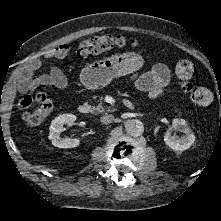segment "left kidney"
Returning a JSON list of instances; mask_svg holds the SVG:
<instances>
[{
	"instance_id": "obj_1",
	"label": "left kidney",
	"mask_w": 221,
	"mask_h": 221,
	"mask_svg": "<svg viewBox=\"0 0 221 221\" xmlns=\"http://www.w3.org/2000/svg\"><path fill=\"white\" fill-rule=\"evenodd\" d=\"M172 131H181L185 135L179 137L176 133L172 134ZM165 143L176 151H184L192 146L195 141V135L190 130L186 121L182 118H175L172 122L171 128L166 132L164 136Z\"/></svg>"
}]
</instances>
